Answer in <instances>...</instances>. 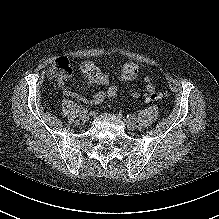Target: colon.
Masks as SVG:
<instances>
[{
  "label": "colon",
  "mask_w": 219,
  "mask_h": 219,
  "mask_svg": "<svg viewBox=\"0 0 219 219\" xmlns=\"http://www.w3.org/2000/svg\"><path fill=\"white\" fill-rule=\"evenodd\" d=\"M93 71V69H92ZM138 72V65L135 63H126L122 67V75L125 78L131 77ZM72 73V67L67 57L57 58L48 70V76L50 79L56 81H62ZM96 80L100 84H106L108 82V76L104 73L96 74ZM109 96H115L117 90L115 87H109L107 90ZM165 93L161 91H151L144 95V99L147 102L161 101L165 98Z\"/></svg>",
  "instance_id": "1"
}]
</instances>
